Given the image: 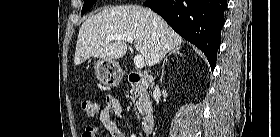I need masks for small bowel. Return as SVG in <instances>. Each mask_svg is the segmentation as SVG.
Returning a JSON list of instances; mask_svg holds the SVG:
<instances>
[{
	"instance_id": "obj_1",
	"label": "small bowel",
	"mask_w": 280,
	"mask_h": 137,
	"mask_svg": "<svg viewBox=\"0 0 280 137\" xmlns=\"http://www.w3.org/2000/svg\"><path fill=\"white\" fill-rule=\"evenodd\" d=\"M105 108L100 112L99 120L101 123V130L106 137H124L123 133L112 120V116L116 118H122V110L119 105L118 99L113 95H108L105 99ZM99 128L89 126L86 128L83 137H97L99 134Z\"/></svg>"
}]
</instances>
